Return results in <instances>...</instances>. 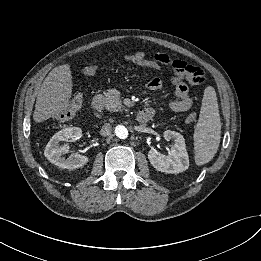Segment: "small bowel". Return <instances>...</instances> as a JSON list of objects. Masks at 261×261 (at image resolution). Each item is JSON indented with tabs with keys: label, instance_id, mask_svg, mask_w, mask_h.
I'll return each mask as SVG.
<instances>
[{
	"label": "small bowel",
	"instance_id": "obj_1",
	"mask_svg": "<svg viewBox=\"0 0 261 261\" xmlns=\"http://www.w3.org/2000/svg\"><path fill=\"white\" fill-rule=\"evenodd\" d=\"M129 59L139 66L145 67V63L150 60L149 54L144 51L134 52L130 55ZM155 63L168 64L171 58L166 54H155L153 57ZM98 70L96 63L87 64L83 73L85 76H92ZM171 83L174 86V95L170 101V107L176 112H184L191 108L193 99L189 94L190 86L178 79L171 78ZM148 89L151 91H160L163 88V81L159 77H153L148 82Z\"/></svg>",
	"mask_w": 261,
	"mask_h": 261
}]
</instances>
